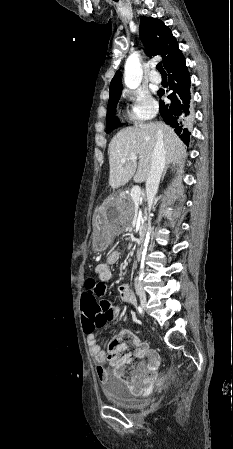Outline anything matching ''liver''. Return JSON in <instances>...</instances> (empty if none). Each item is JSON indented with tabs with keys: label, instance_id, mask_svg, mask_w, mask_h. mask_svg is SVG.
<instances>
[{
	"label": "liver",
	"instance_id": "6515ba94",
	"mask_svg": "<svg viewBox=\"0 0 233 449\" xmlns=\"http://www.w3.org/2000/svg\"><path fill=\"white\" fill-rule=\"evenodd\" d=\"M158 136H162L168 162L185 159V145L180 141L173 129L165 123H141L133 127L124 128L112 138L108 148L109 184L112 189L125 185L132 177L137 182L147 180L153 149ZM131 154L139 157L138 165L136 161L129 158ZM122 158L126 159L125 163H121Z\"/></svg>",
	"mask_w": 233,
	"mask_h": 449
}]
</instances>
